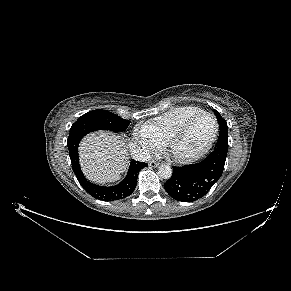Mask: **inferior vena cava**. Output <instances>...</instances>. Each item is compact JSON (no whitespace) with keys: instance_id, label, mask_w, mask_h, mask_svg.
Returning <instances> with one entry per match:
<instances>
[{"instance_id":"obj_1","label":"inferior vena cava","mask_w":291,"mask_h":291,"mask_svg":"<svg viewBox=\"0 0 291 291\" xmlns=\"http://www.w3.org/2000/svg\"><path fill=\"white\" fill-rule=\"evenodd\" d=\"M129 149L130 154L134 160L147 162L151 159L150 151L146 148H142L132 143L129 145Z\"/></svg>"}]
</instances>
